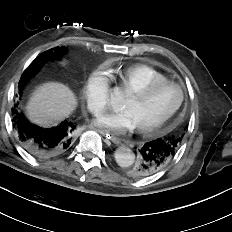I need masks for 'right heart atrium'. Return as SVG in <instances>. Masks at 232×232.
<instances>
[{
	"instance_id": "obj_1",
	"label": "right heart atrium",
	"mask_w": 232,
	"mask_h": 232,
	"mask_svg": "<svg viewBox=\"0 0 232 232\" xmlns=\"http://www.w3.org/2000/svg\"><path fill=\"white\" fill-rule=\"evenodd\" d=\"M83 96L88 109L97 114L109 105V77L108 74L98 69L86 81Z\"/></svg>"
}]
</instances>
